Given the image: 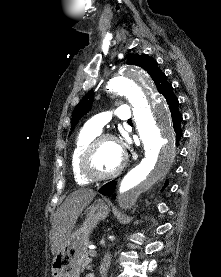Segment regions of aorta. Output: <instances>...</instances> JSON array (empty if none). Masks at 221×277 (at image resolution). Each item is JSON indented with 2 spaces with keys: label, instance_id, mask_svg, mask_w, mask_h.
Returning a JSON list of instances; mask_svg holds the SVG:
<instances>
[{
  "label": "aorta",
  "instance_id": "1",
  "mask_svg": "<svg viewBox=\"0 0 221 277\" xmlns=\"http://www.w3.org/2000/svg\"><path fill=\"white\" fill-rule=\"evenodd\" d=\"M107 88L125 96L132 105L136 129L144 145V158L120 183L122 206L129 208L170 169L175 157V134L167 104L156 94L141 68L125 67L109 80ZM109 260L107 250L101 257V267H106Z\"/></svg>",
  "mask_w": 221,
  "mask_h": 277
}]
</instances>
